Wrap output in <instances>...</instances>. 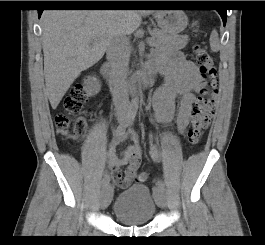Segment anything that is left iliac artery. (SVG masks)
Returning <instances> with one entry per match:
<instances>
[{
	"mask_svg": "<svg viewBox=\"0 0 265 245\" xmlns=\"http://www.w3.org/2000/svg\"><path fill=\"white\" fill-rule=\"evenodd\" d=\"M151 157L155 159L157 157V151L153 145L150 146V151H149ZM165 189V184L162 180H158L157 186L153 188L154 194L158 193L160 190Z\"/></svg>",
	"mask_w": 265,
	"mask_h": 245,
	"instance_id": "1",
	"label": "left iliac artery"
}]
</instances>
